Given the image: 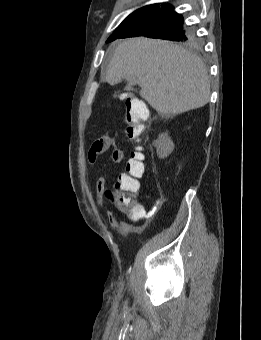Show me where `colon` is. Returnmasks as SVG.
I'll list each match as a JSON object with an SVG mask.
<instances>
[{"label": "colon", "mask_w": 261, "mask_h": 340, "mask_svg": "<svg viewBox=\"0 0 261 340\" xmlns=\"http://www.w3.org/2000/svg\"><path fill=\"white\" fill-rule=\"evenodd\" d=\"M148 117V109L145 103L137 98L128 97L125 101L124 121L126 134L138 142L145 131V121ZM144 155L140 148L132 152L126 163L125 173L120 175L113 189L106 192L107 198L123 212L130 215L142 213V206L133 196L139 187V179L144 174Z\"/></svg>", "instance_id": "5ec220e1"}]
</instances>
